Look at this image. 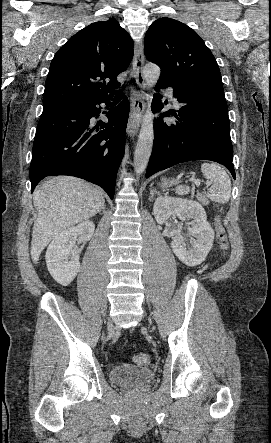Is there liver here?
<instances>
[{
    "mask_svg": "<svg viewBox=\"0 0 271 443\" xmlns=\"http://www.w3.org/2000/svg\"><path fill=\"white\" fill-rule=\"evenodd\" d=\"M38 216L33 225L31 257L38 263L41 251L64 229L96 216L105 206L100 190L72 176L45 180L33 194Z\"/></svg>",
    "mask_w": 271,
    "mask_h": 443,
    "instance_id": "6515ba94",
    "label": "liver"
}]
</instances>
